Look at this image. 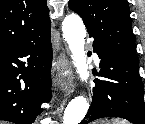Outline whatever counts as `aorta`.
<instances>
[{
  "label": "aorta",
  "mask_w": 145,
  "mask_h": 124,
  "mask_svg": "<svg viewBox=\"0 0 145 124\" xmlns=\"http://www.w3.org/2000/svg\"><path fill=\"white\" fill-rule=\"evenodd\" d=\"M62 32L72 54V60L80 79L87 82L89 77L84 50L86 29L80 16L67 15L62 23ZM89 109V101L84 96L72 99L64 111L63 124H79Z\"/></svg>",
  "instance_id": "obj_1"
}]
</instances>
